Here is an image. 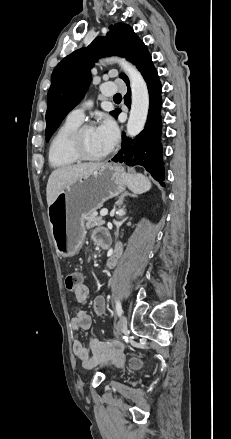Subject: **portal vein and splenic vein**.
Listing matches in <instances>:
<instances>
[{
    "instance_id": "1",
    "label": "portal vein and splenic vein",
    "mask_w": 231,
    "mask_h": 439,
    "mask_svg": "<svg viewBox=\"0 0 231 439\" xmlns=\"http://www.w3.org/2000/svg\"><path fill=\"white\" fill-rule=\"evenodd\" d=\"M108 214V210L107 209H102L101 211H100V215L101 216H106Z\"/></svg>"
}]
</instances>
